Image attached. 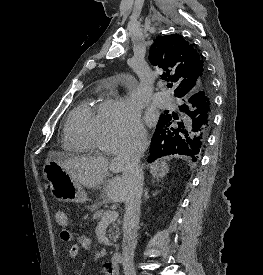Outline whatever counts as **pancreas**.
<instances>
[{
	"mask_svg": "<svg viewBox=\"0 0 263 275\" xmlns=\"http://www.w3.org/2000/svg\"><path fill=\"white\" fill-rule=\"evenodd\" d=\"M98 207H99V204H93L90 207V210L94 212L93 213V219H95V220H101L103 218L104 214L108 212V210H98ZM118 224L119 223L112 222V225H111V227L108 231L110 241L112 242V243H110L111 245L113 243H115L118 239V236H119Z\"/></svg>",
	"mask_w": 263,
	"mask_h": 275,
	"instance_id": "cf45deb5",
	"label": "pancreas"
}]
</instances>
